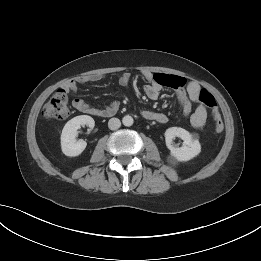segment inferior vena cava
Segmentation results:
<instances>
[{"instance_id":"inferior-vena-cava-1","label":"inferior vena cava","mask_w":261,"mask_h":261,"mask_svg":"<svg viewBox=\"0 0 261 261\" xmlns=\"http://www.w3.org/2000/svg\"><path fill=\"white\" fill-rule=\"evenodd\" d=\"M121 126V122L118 118H111L108 122V127L111 130H116Z\"/></svg>"}]
</instances>
